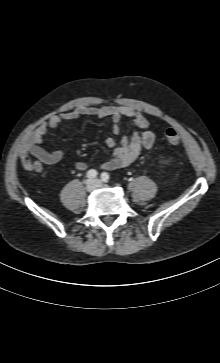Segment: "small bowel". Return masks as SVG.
Instances as JSON below:
<instances>
[{
    "mask_svg": "<svg viewBox=\"0 0 220 363\" xmlns=\"http://www.w3.org/2000/svg\"><path fill=\"white\" fill-rule=\"evenodd\" d=\"M84 116L109 117L115 135L121 131L120 122L122 119L130 120L137 128V131L130 138L123 136L119 141L114 137L106 139L107 147L113 149V156L101 165L102 169L113 170L131 165L142 150L149 149L154 144L155 134L150 128L148 119L139 110L125 106L79 107L62 115L53 116L41 123L19 152L21 165L26 170L42 173L43 165H54L61 161L64 155L62 150L48 152L40 146L44 136L50 129L57 128L64 121L75 120ZM74 167L78 171H84L88 166L87 163L79 161L75 163Z\"/></svg>",
    "mask_w": 220,
    "mask_h": 363,
    "instance_id": "small-bowel-1",
    "label": "small bowel"
}]
</instances>
